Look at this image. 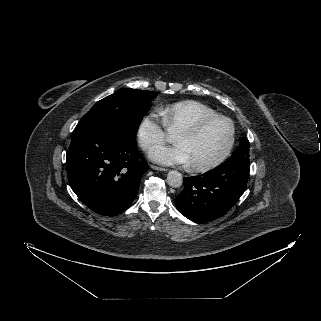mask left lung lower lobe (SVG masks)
I'll return each instance as SVG.
<instances>
[{"label":"left lung lower lobe","mask_w":321,"mask_h":321,"mask_svg":"<svg viewBox=\"0 0 321 321\" xmlns=\"http://www.w3.org/2000/svg\"><path fill=\"white\" fill-rule=\"evenodd\" d=\"M249 171V157L232 155L202 176L187 177L185 189L177 196L175 206L185 217L198 223L221 217L244 193Z\"/></svg>","instance_id":"left-lung-lower-lobe-1"}]
</instances>
